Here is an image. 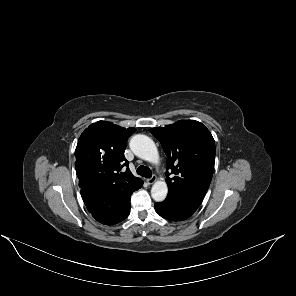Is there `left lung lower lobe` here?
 Returning <instances> with one entry per match:
<instances>
[{
    "label": "left lung lower lobe",
    "mask_w": 296,
    "mask_h": 296,
    "mask_svg": "<svg viewBox=\"0 0 296 296\" xmlns=\"http://www.w3.org/2000/svg\"><path fill=\"white\" fill-rule=\"evenodd\" d=\"M200 203L180 202L172 199H165L161 203H155L156 212L171 221H183L189 218L199 207Z\"/></svg>",
    "instance_id": "1"
}]
</instances>
